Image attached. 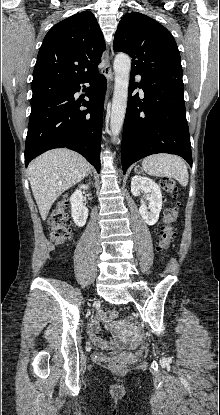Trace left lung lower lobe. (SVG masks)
I'll list each match as a JSON object with an SVG mask.
<instances>
[{
    "mask_svg": "<svg viewBox=\"0 0 220 415\" xmlns=\"http://www.w3.org/2000/svg\"><path fill=\"white\" fill-rule=\"evenodd\" d=\"M136 74L142 76L140 83H133ZM137 86L144 91L143 99L132 96ZM156 153L179 155L192 167L182 77L132 70L121 146L123 173L132 163Z\"/></svg>",
    "mask_w": 220,
    "mask_h": 415,
    "instance_id": "obj_1",
    "label": "left lung lower lobe"
}]
</instances>
